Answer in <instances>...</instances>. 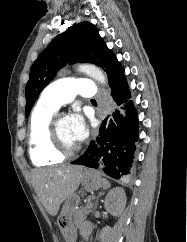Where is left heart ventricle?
I'll list each match as a JSON object with an SVG mask.
<instances>
[{"instance_id": "left-heart-ventricle-1", "label": "left heart ventricle", "mask_w": 187, "mask_h": 242, "mask_svg": "<svg viewBox=\"0 0 187 242\" xmlns=\"http://www.w3.org/2000/svg\"><path fill=\"white\" fill-rule=\"evenodd\" d=\"M57 135L60 145L64 149H72L77 146L68 125L67 118H61L57 124Z\"/></svg>"}]
</instances>
